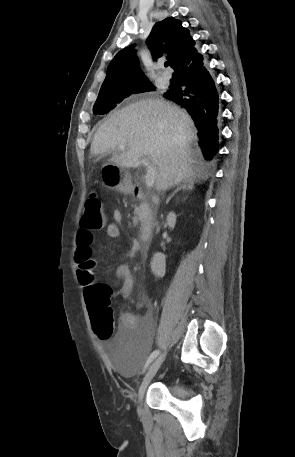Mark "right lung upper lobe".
Returning a JSON list of instances; mask_svg holds the SVG:
<instances>
[{
  "mask_svg": "<svg viewBox=\"0 0 295 457\" xmlns=\"http://www.w3.org/2000/svg\"><path fill=\"white\" fill-rule=\"evenodd\" d=\"M146 42L154 58L160 57L164 52L168 53L167 59L171 67L195 45L189 30L182 27V22L171 18L157 22ZM145 80L148 79L139 67L133 44L119 51L110 62L100 92Z\"/></svg>",
  "mask_w": 295,
  "mask_h": 457,
  "instance_id": "1",
  "label": "right lung upper lobe"
}]
</instances>
